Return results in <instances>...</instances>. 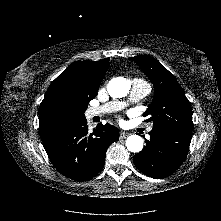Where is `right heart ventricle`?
<instances>
[{
  "label": "right heart ventricle",
  "mask_w": 221,
  "mask_h": 221,
  "mask_svg": "<svg viewBox=\"0 0 221 221\" xmlns=\"http://www.w3.org/2000/svg\"><path fill=\"white\" fill-rule=\"evenodd\" d=\"M134 80H135V81L142 82V83H146L143 79L136 78V79H134Z\"/></svg>",
  "instance_id": "1"
}]
</instances>
